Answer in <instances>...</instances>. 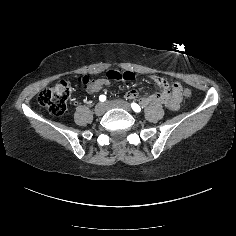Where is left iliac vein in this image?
Returning <instances> with one entry per match:
<instances>
[{"label":"left iliac vein","mask_w":236,"mask_h":236,"mask_svg":"<svg viewBox=\"0 0 236 236\" xmlns=\"http://www.w3.org/2000/svg\"><path fill=\"white\" fill-rule=\"evenodd\" d=\"M106 105H107V108H122L126 111L131 110L130 104L122 100L107 101Z\"/></svg>","instance_id":"obj_1"}]
</instances>
